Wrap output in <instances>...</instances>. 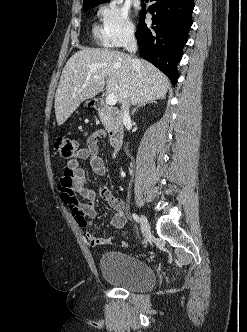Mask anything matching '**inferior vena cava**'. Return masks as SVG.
Here are the masks:
<instances>
[{"label":"inferior vena cava","instance_id":"1","mask_svg":"<svg viewBox=\"0 0 247 332\" xmlns=\"http://www.w3.org/2000/svg\"><path fill=\"white\" fill-rule=\"evenodd\" d=\"M124 48L130 52L135 53L137 51V43L134 35V30H129L126 34V38L124 41ZM136 62L133 61V67H135ZM121 117L123 121H127L130 119L129 115V107L128 105H123L121 109Z\"/></svg>","mask_w":247,"mask_h":332}]
</instances>
